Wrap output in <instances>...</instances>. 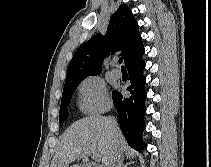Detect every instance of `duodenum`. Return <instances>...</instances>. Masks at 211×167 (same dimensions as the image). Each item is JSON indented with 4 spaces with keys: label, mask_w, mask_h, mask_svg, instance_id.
Listing matches in <instances>:
<instances>
[{
    "label": "duodenum",
    "mask_w": 211,
    "mask_h": 167,
    "mask_svg": "<svg viewBox=\"0 0 211 167\" xmlns=\"http://www.w3.org/2000/svg\"><path fill=\"white\" fill-rule=\"evenodd\" d=\"M87 167H98V166L94 165V164H89V165H87Z\"/></svg>",
    "instance_id": "obj_1"
}]
</instances>
